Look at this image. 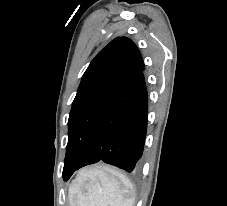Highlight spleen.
<instances>
[{
  "label": "spleen",
  "mask_w": 227,
  "mask_h": 206,
  "mask_svg": "<svg viewBox=\"0 0 227 206\" xmlns=\"http://www.w3.org/2000/svg\"><path fill=\"white\" fill-rule=\"evenodd\" d=\"M69 197L72 206H134L135 190L118 171L92 169L70 187Z\"/></svg>",
  "instance_id": "1"
}]
</instances>
